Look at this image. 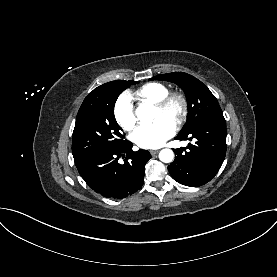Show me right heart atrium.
<instances>
[{
    "instance_id": "obj_1",
    "label": "right heart atrium",
    "mask_w": 277,
    "mask_h": 277,
    "mask_svg": "<svg viewBox=\"0 0 277 277\" xmlns=\"http://www.w3.org/2000/svg\"><path fill=\"white\" fill-rule=\"evenodd\" d=\"M114 118L116 122L124 129L131 130L136 123V115L131 97L123 93L114 104Z\"/></svg>"
}]
</instances>
